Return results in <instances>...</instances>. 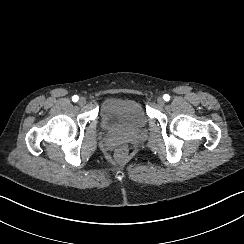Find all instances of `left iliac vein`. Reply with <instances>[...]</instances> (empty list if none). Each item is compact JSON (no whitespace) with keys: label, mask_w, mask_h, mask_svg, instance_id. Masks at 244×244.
<instances>
[{"label":"left iliac vein","mask_w":244,"mask_h":244,"mask_svg":"<svg viewBox=\"0 0 244 244\" xmlns=\"http://www.w3.org/2000/svg\"><path fill=\"white\" fill-rule=\"evenodd\" d=\"M157 103H158L159 106H164L165 105V101H164V99L162 97H159L157 99Z\"/></svg>","instance_id":"1"}]
</instances>
